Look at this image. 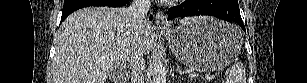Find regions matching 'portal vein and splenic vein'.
Wrapping results in <instances>:
<instances>
[{"mask_svg": "<svg viewBox=\"0 0 307 83\" xmlns=\"http://www.w3.org/2000/svg\"><path fill=\"white\" fill-rule=\"evenodd\" d=\"M191 77H194L195 75H190ZM213 78H215V75L214 74H207L206 76H205V79H213Z\"/></svg>", "mask_w": 307, "mask_h": 83, "instance_id": "obj_1", "label": "portal vein and splenic vein"}]
</instances>
